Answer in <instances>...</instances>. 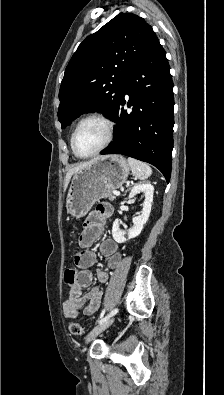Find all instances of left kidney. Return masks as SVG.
Masks as SVG:
<instances>
[{
  "label": "left kidney",
  "instance_id": "obj_1",
  "mask_svg": "<svg viewBox=\"0 0 224 395\" xmlns=\"http://www.w3.org/2000/svg\"><path fill=\"white\" fill-rule=\"evenodd\" d=\"M138 193L144 194V202L141 214L133 218V226L128 230H121L119 228L118 219H116L113 223L112 236L117 243H124L127 241V239L138 236L149 218L153 201L154 187L149 182L136 184L129 194V199L134 198Z\"/></svg>",
  "mask_w": 224,
  "mask_h": 395
}]
</instances>
